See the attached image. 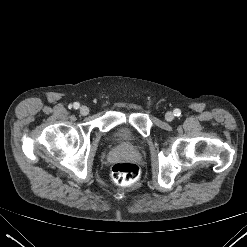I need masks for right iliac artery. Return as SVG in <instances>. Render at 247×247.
<instances>
[{"label": "right iliac artery", "mask_w": 247, "mask_h": 247, "mask_svg": "<svg viewBox=\"0 0 247 247\" xmlns=\"http://www.w3.org/2000/svg\"><path fill=\"white\" fill-rule=\"evenodd\" d=\"M79 106H80V104H79V103H77V102H75V103L73 104V108H75V109H78V108H79Z\"/></svg>", "instance_id": "obj_1"}]
</instances>
